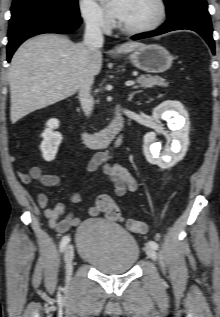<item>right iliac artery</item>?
<instances>
[{
	"instance_id": "1",
	"label": "right iliac artery",
	"mask_w": 220,
	"mask_h": 317,
	"mask_svg": "<svg viewBox=\"0 0 220 317\" xmlns=\"http://www.w3.org/2000/svg\"><path fill=\"white\" fill-rule=\"evenodd\" d=\"M70 241V237L69 236H64L60 242V251L63 252L64 249L66 248L67 244Z\"/></svg>"
}]
</instances>
